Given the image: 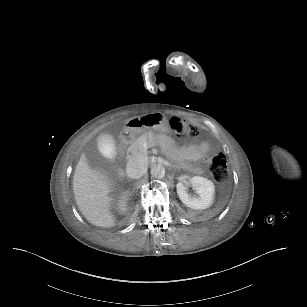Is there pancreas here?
I'll use <instances>...</instances> for the list:
<instances>
[{
  "mask_svg": "<svg viewBox=\"0 0 307 307\" xmlns=\"http://www.w3.org/2000/svg\"><path fill=\"white\" fill-rule=\"evenodd\" d=\"M149 140V137L147 135H142L140 136L133 144L131 147V155H140V156H145L147 155V151L143 148V145L147 143ZM166 157L171 161V162H177L179 163V159L176 157L170 158L169 154H166Z\"/></svg>",
  "mask_w": 307,
  "mask_h": 307,
  "instance_id": "obj_1",
  "label": "pancreas"
}]
</instances>
